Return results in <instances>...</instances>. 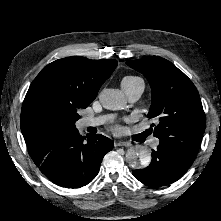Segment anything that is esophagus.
Listing matches in <instances>:
<instances>
[{"label":"esophagus","instance_id":"esophagus-1","mask_svg":"<svg viewBox=\"0 0 221 221\" xmlns=\"http://www.w3.org/2000/svg\"><path fill=\"white\" fill-rule=\"evenodd\" d=\"M116 147H130L131 144L129 142L119 141L115 143Z\"/></svg>","mask_w":221,"mask_h":221}]
</instances>
